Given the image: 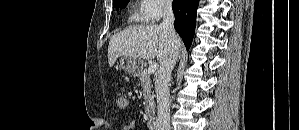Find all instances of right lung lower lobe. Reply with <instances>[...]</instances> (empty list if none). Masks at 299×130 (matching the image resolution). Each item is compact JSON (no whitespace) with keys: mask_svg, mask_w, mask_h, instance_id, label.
Returning a JSON list of instances; mask_svg holds the SVG:
<instances>
[{"mask_svg":"<svg viewBox=\"0 0 299 130\" xmlns=\"http://www.w3.org/2000/svg\"><path fill=\"white\" fill-rule=\"evenodd\" d=\"M199 0H174L172 5L175 14L174 27L187 49L190 48L196 25V10Z\"/></svg>","mask_w":299,"mask_h":130,"instance_id":"98d812e1","label":"right lung lower lobe"}]
</instances>
